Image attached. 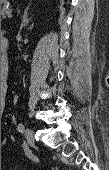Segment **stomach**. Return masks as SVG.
Instances as JSON below:
<instances>
[{"label":"stomach","instance_id":"obj_1","mask_svg":"<svg viewBox=\"0 0 109 170\" xmlns=\"http://www.w3.org/2000/svg\"><path fill=\"white\" fill-rule=\"evenodd\" d=\"M6 3H7V0H1V5L6 4Z\"/></svg>","mask_w":109,"mask_h":170}]
</instances>
